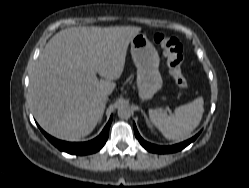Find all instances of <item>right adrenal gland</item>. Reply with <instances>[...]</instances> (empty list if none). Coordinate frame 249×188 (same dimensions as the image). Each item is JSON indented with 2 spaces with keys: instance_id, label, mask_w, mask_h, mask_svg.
I'll return each instance as SVG.
<instances>
[{
  "instance_id": "2a0ac1e0",
  "label": "right adrenal gland",
  "mask_w": 249,
  "mask_h": 188,
  "mask_svg": "<svg viewBox=\"0 0 249 188\" xmlns=\"http://www.w3.org/2000/svg\"><path fill=\"white\" fill-rule=\"evenodd\" d=\"M102 116H103V114H102ZM102 116H101V118H100V121L102 120Z\"/></svg>"
}]
</instances>
